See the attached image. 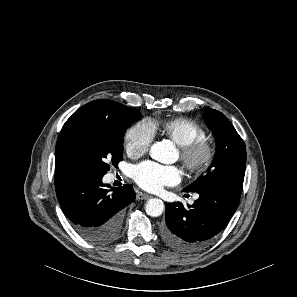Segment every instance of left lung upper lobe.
I'll return each mask as SVG.
<instances>
[{
	"mask_svg": "<svg viewBox=\"0 0 297 297\" xmlns=\"http://www.w3.org/2000/svg\"><path fill=\"white\" fill-rule=\"evenodd\" d=\"M203 116L216 138V153L205 175L200 176L186 191L216 185H243L246 167V147L233 125L219 111L207 109Z\"/></svg>",
	"mask_w": 297,
	"mask_h": 297,
	"instance_id": "5c2ea615",
	"label": "left lung upper lobe"
}]
</instances>
